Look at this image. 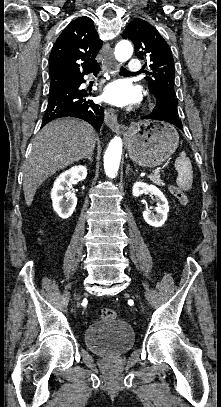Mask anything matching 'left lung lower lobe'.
<instances>
[{
	"label": "left lung lower lobe",
	"mask_w": 221,
	"mask_h": 407,
	"mask_svg": "<svg viewBox=\"0 0 221 407\" xmlns=\"http://www.w3.org/2000/svg\"><path fill=\"white\" fill-rule=\"evenodd\" d=\"M141 119L166 121L182 130V122L177 107L173 106L172 98L167 94L157 99L154 110L149 115L141 117Z\"/></svg>",
	"instance_id": "1"
}]
</instances>
